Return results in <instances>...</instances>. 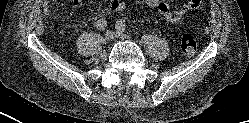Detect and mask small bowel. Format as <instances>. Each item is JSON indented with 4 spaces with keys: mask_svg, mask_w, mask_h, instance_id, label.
<instances>
[{
    "mask_svg": "<svg viewBox=\"0 0 249 123\" xmlns=\"http://www.w3.org/2000/svg\"><path fill=\"white\" fill-rule=\"evenodd\" d=\"M81 0H72L73 6L77 7L80 5ZM132 3L146 5L151 9L157 10L165 20L173 23H181L187 14L195 11L199 8L201 0H189L187 3L181 5L178 8H172L164 0H131ZM128 6L127 0H111L110 4L106 9L107 14H111L117 11L124 10ZM44 13L49 19L53 18V10L51 1L46 0L44 2Z\"/></svg>",
    "mask_w": 249,
    "mask_h": 123,
    "instance_id": "1",
    "label": "small bowel"
}]
</instances>
